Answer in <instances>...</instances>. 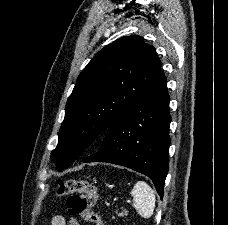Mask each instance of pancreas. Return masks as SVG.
<instances>
[{"label":"pancreas","mask_w":228,"mask_h":225,"mask_svg":"<svg viewBox=\"0 0 228 225\" xmlns=\"http://www.w3.org/2000/svg\"><path fill=\"white\" fill-rule=\"evenodd\" d=\"M122 209V213H116V215H119V217H126V215H128V211H126V209H123V207H121ZM112 219H115V217H112Z\"/></svg>","instance_id":"1"}]
</instances>
